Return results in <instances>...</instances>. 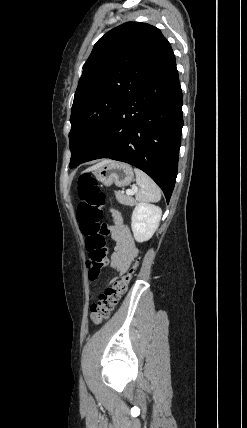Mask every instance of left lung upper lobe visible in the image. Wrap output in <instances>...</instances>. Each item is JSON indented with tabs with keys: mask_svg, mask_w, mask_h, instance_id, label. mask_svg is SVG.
Returning a JSON list of instances; mask_svg holds the SVG:
<instances>
[{
	"mask_svg": "<svg viewBox=\"0 0 247 428\" xmlns=\"http://www.w3.org/2000/svg\"><path fill=\"white\" fill-rule=\"evenodd\" d=\"M172 55L161 31L146 23L122 24L96 42L71 109L70 168L90 154L123 101Z\"/></svg>",
	"mask_w": 247,
	"mask_h": 428,
	"instance_id": "1",
	"label": "left lung upper lobe"
}]
</instances>
